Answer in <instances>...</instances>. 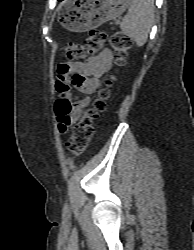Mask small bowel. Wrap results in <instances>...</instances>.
<instances>
[{"instance_id": "c3829d8e", "label": "small bowel", "mask_w": 194, "mask_h": 250, "mask_svg": "<svg viewBox=\"0 0 194 250\" xmlns=\"http://www.w3.org/2000/svg\"><path fill=\"white\" fill-rule=\"evenodd\" d=\"M113 65V53L104 49L99 54L89 57L83 62L65 63L58 66L56 90L60 103L58 126L61 132H66L79 118L82 111L90 103V95L99 87L101 77ZM72 88L84 94L74 98Z\"/></svg>"}]
</instances>
